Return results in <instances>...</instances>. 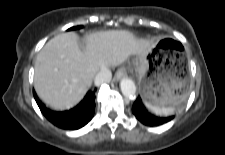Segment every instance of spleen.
I'll return each mask as SVG.
<instances>
[{
  "label": "spleen",
  "instance_id": "3e777b00",
  "mask_svg": "<svg viewBox=\"0 0 225 155\" xmlns=\"http://www.w3.org/2000/svg\"><path fill=\"white\" fill-rule=\"evenodd\" d=\"M147 109L157 115H170L176 108L174 106L158 107L145 102Z\"/></svg>",
  "mask_w": 225,
  "mask_h": 155
}]
</instances>
